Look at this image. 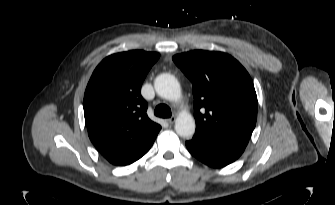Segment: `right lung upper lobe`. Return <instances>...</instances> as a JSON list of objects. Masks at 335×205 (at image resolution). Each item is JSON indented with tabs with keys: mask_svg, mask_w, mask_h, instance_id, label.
Segmentation results:
<instances>
[{
	"mask_svg": "<svg viewBox=\"0 0 335 205\" xmlns=\"http://www.w3.org/2000/svg\"><path fill=\"white\" fill-rule=\"evenodd\" d=\"M156 52L132 50L106 57L94 70L84 94L88 135L114 165H128L151 148L161 126L151 121L141 85Z\"/></svg>",
	"mask_w": 335,
	"mask_h": 205,
	"instance_id": "1",
	"label": "right lung upper lobe"
}]
</instances>
